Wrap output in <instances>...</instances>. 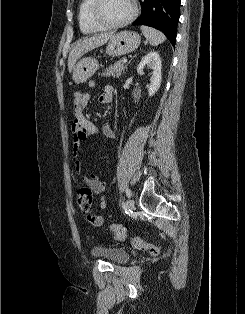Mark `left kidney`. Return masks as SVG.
I'll use <instances>...</instances> for the list:
<instances>
[{
  "label": "left kidney",
  "mask_w": 245,
  "mask_h": 314,
  "mask_svg": "<svg viewBox=\"0 0 245 314\" xmlns=\"http://www.w3.org/2000/svg\"><path fill=\"white\" fill-rule=\"evenodd\" d=\"M147 66L148 68L152 69V76L150 78V85L148 86V93L149 96H153L161 85V58L156 51H151L147 53L139 63L137 67V73L139 75H143V70Z\"/></svg>",
  "instance_id": "obj_1"
}]
</instances>
